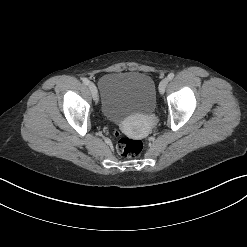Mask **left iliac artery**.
<instances>
[{
	"instance_id": "44dca946",
	"label": "left iliac artery",
	"mask_w": 247,
	"mask_h": 247,
	"mask_svg": "<svg viewBox=\"0 0 247 247\" xmlns=\"http://www.w3.org/2000/svg\"><path fill=\"white\" fill-rule=\"evenodd\" d=\"M168 80H172L174 78V73H170L167 76Z\"/></svg>"
}]
</instances>
